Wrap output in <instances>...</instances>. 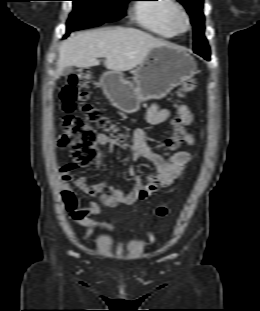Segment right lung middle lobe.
Listing matches in <instances>:
<instances>
[{
	"label": "right lung middle lobe",
	"mask_w": 260,
	"mask_h": 311,
	"mask_svg": "<svg viewBox=\"0 0 260 311\" xmlns=\"http://www.w3.org/2000/svg\"><path fill=\"white\" fill-rule=\"evenodd\" d=\"M74 10L67 22V34L71 31L99 26L116 21L125 15L131 0H71Z\"/></svg>",
	"instance_id": "right-lung-middle-lobe-1"
}]
</instances>
